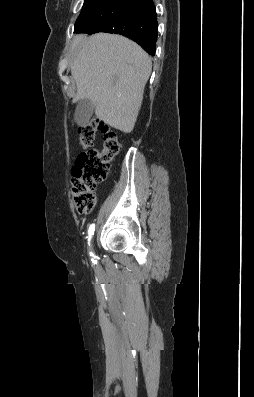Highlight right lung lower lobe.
Masks as SVG:
<instances>
[{"instance_id": "obj_1", "label": "right lung lower lobe", "mask_w": 254, "mask_h": 397, "mask_svg": "<svg viewBox=\"0 0 254 397\" xmlns=\"http://www.w3.org/2000/svg\"><path fill=\"white\" fill-rule=\"evenodd\" d=\"M157 14L152 0H106L75 33L107 32L126 36L150 55L155 54Z\"/></svg>"}]
</instances>
